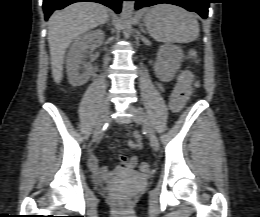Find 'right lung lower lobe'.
<instances>
[{
    "mask_svg": "<svg viewBox=\"0 0 260 217\" xmlns=\"http://www.w3.org/2000/svg\"><path fill=\"white\" fill-rule=\"evenodd\" d=\"M80 1H91L101 3L113 9L116 13H119L121 10V3L123 0H43L45 20L49 18V16L52 14L54 10L62 9L69 4Z\"/></svg>",
    "mask_w": 260,
    "mask_h": 217,
    "instance_id": "right-lung-lower-lobe-1",
    "label": "right lung lower lobe"
}]
</instances>
